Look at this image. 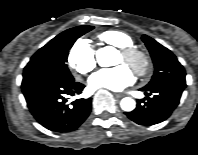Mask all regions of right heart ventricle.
Wrapping results in <instances>:
<instances>
[{
    "mask_svg": "<svg viewBox=\"0 0 198 155\" xmlns=\"http://www.w3.org/2000/svg\"><path fill=\"white\" fill-rule=\"evenodd\" d=\"M98 39L119 49L133 46V39L119 30L103 31L98 35Z\"/></svg>",
    "mask_w": 198,
    "mask_h": 155,
    "instance_id": "obj_1",
    "label": "right heart ventricle"
}]
</instances>
